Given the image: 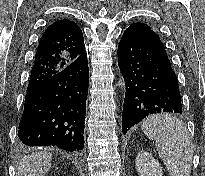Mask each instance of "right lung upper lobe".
I'll use <instances>...</instances> for the list:
<instances>
[{"instance_id": "1", "label": "right lung upper lobe", "mask_w": 205, "mask_h": 176, "mask_svg": "<svg viewBox=\"0 0 205 176\" xmlns=\"http://www.w3.org/2000/svg\"><path fill=\"white\" fill-rule=\"evenodd\" d=\"M85 52L83 34L70 20H58L42 35L35 55L27 90L59 73Z\"/></svg>"}]
</instances>
